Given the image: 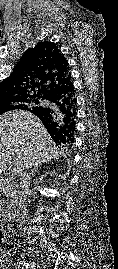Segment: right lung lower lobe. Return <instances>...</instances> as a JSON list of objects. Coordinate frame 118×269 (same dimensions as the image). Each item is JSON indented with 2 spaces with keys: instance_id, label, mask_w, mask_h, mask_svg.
<instances>
[{
  "instance_id": "98d812e1",
  "label": "right lung lower lobe",
  "mask_w": 118,
  "mask_h": 269,
  "mask_svg": "<svg viewBox=\"0 0 118 269\" xmlns=\"http://www.w3.org/2000/svg\"><path fill=\"white\" fill-rule=\"evenodd\" d=\"M67 93L72 97V99H71V101H72V118L70 120V124H69L68 128L65 130L64 128L61 129L59 127V131L56 134V136H58V137H57V139H53L57 145H61V146H64V145L72 146V144L74 143L76 99L74 97L75 93H74L73 84H71L69 86ZM47 107L50 109L52 108L51 104H48Z\"/></svg>"
}]
</instances>
